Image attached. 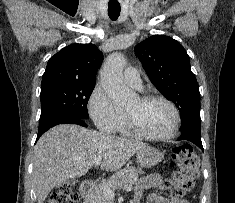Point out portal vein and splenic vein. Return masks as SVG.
<instances>
[{"mask_svg": "<svg viewBox=\"0 0 235 203\" xmlns=\"http://www.w3.org/2000/svg\"><path fill=\"white\" fill-rule=\"evenodd\" d=\"M101 160H102L101 158H97L96 161H95V165H96V166L100 165ZM132 189H133V186H132V185H129V186H126V187H125V190H126L127 192H130ZM103 191H104V194H105L107 197H109V198H111V199H113V198L115 197L114 190L111 189L109 186L104 185V186H103Z\"/></svg>", "mask_w": 235, "mask_h": 203, "instance_id": "portal-vein-and-splenic-vein-1", "label": "portal vein and splenic vein"}]
</instances>
